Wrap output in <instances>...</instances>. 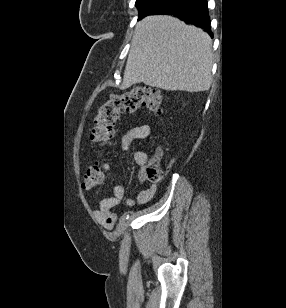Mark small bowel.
Segmentation results:
<instances>
[{
  "mask_svg": "<svg viewBox=\"0 0 286 308\" xmlns=\"http://www.w3.org/2000/svg\"><path fill=\"white\" fill-rule=\"evenodd\" d=\"M151 134V128L148 124H140L130 127L124 131L119 139L118 147L121 151H127L134 141L138 139H146ZM134 159L141 169L138 173V179L143 184L147 181L143 167L147 161L145 152L138 150L134 153ZM157 191V185L151 184L142 189L135 199H127V204L130 206L143 205L150 202ZM125 198L124 185H116L113 189V195L102 200L99 207L94 211V217L101 222L106 228H111L116 222L117 215L113 212V207Z\"/></svg>",
  "mask_w": 286,
  "mask_h": 308,
  "instance_id": "1",
  "label": "small bowel"
}]
</instances>
